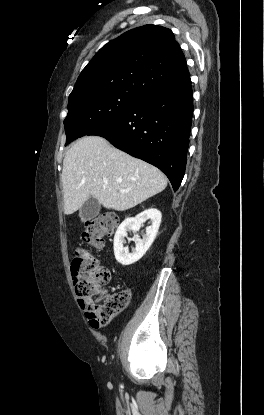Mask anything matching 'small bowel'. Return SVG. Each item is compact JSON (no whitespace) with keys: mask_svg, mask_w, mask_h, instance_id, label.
Returning a JSON list of instances; mask_svg holds the SVG:
<instances>
[{"mask_svg":"<svg viewBox=\"0 0 264 415\" xmlns=\"http://www.w3.org/2000/svg\"><path fill=\"white\" fill-rule=\"evenodd\" d=\"M80 279H81V274L72 273V281L75 285H77L79 283Z\"/></svg>","mask_w":264,"mask_h":415,"instance_id":"1","label":"small bowel"}]
</instances>
